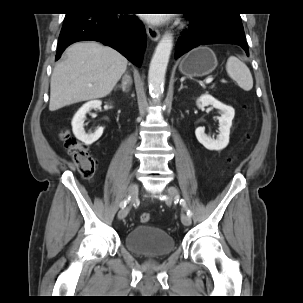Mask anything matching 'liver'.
<instances>
[{
    "label": "liver",
    "mask_w": 303,
    "mask_h": 303,
    "mask_svg": "<svg viewBox=\"0 0 303 303\" xmlns=\"http://www.w3.org/2000/svg\"><path fill=\"white\" fill-rule=\"evenodd\" d=\"M126 66V58L110 47L96 42L71 45L53 70L49 110L107 96Z\"/></svg>",
    "instance_id": "6515ba94"
}]
</instances>
